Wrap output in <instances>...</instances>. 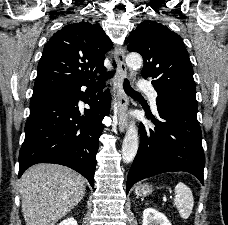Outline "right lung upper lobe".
Listing matches in <instances>:
<instances>
[{
	"label": "right lung upper lobe",
	"mask_w": 228,
	"mask_h": 225,
	"mask_svg": "<svg viewBox=\"0 0 228 225\" xmlns=\"http://www.w3.org/2000/svg\"><path fill=\"white\" fill-rule=\"evenodd\" d=\"M111 48V40L98 23L64 26L44 47L34 88H72L93 82L96 72L105 71L104 55Z\"/></svg>",
	"instance_id": "right-lung-upper-lobe-1"
}]
</instances>
